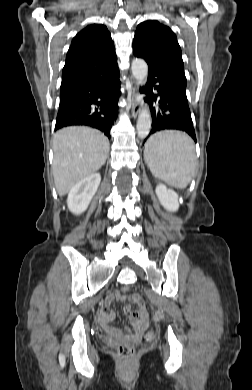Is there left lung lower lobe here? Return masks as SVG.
I'll list each match as a JSON object with an SVG mask.
<instances>
[{
  "label": "left lung lower lobe",
  "mask_w": 252,
  "mask_h": 390,
  "mask_svg": "<svg viewBox=\"0 0 252 390\" xmlns=\"http://www.w3.org/2000/svg\"><path fill=\"white\" fill-rule=\"evenodd\" d=\"M148 68V82L141 91L147 93V100L151 105L152 129L149 135L160 130L176 129L187 132L196 141L186 96V83L165 71ZM153 103L157 107H153Z\"/></svg>",
  "instance_id": "left-lung-lower-lobe-1"
}]
</instances>
